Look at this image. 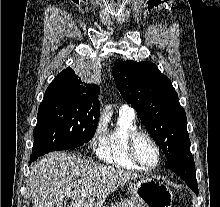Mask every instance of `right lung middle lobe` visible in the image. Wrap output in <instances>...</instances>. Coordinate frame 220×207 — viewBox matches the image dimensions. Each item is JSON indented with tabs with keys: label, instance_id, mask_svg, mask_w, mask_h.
Masks as SVG:
<instances>
[{
	"label": "right lung middle lobe",
	"instance_id": "dd1d6c3e",
	"mask_svg": "<svg viewBox=\"0 0 220 207\" xmlns=\"http://www.w3.org/2000/svg\"><path fill=\"white\" fill-rule=\"evenodd\" d=\"M100 109L76 96L45 94L34 128L32 155L76 148L95 134Z\"/></svg>",
	"mask_w": 220,
	"mask_h": 207
}]
</instances>
